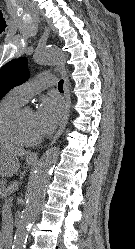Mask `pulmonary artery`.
Returning <instances> with one entry per match:
<instances>
[{
    "label": "pulmonary artery",
    "mask_w": 135,
    "mask_h": 249,
    "mask_svg": "<svg viewBox=\"0 0 135 249\" xmlns=\"http://www.w3.org/2000/svg\"><path fill=\"white\" fill-rule=\"evenodd\" d=\"M56 78L49 73H40L31 80L15 87L11 92L21 101L29 100L33 95L40 91L54 87Z\"/></svg>",
    "instance_id": "pulmonary-artery-1"
}]
</instances>
